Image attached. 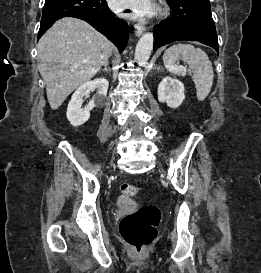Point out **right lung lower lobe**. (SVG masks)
<instances>
[{
    "instance_id": "1",
    "label": "right lung lower lobe",
    "mask_w": 261,
    "mask_h": 273,
    "mask_svg": "<svg viewBox=\"0 0 261 273\" xmlns=\"http://www.w3.org/2000/svg\"><path fill=\"white\" fill-rule=\"evenodd\" d=\"M76 17L88 22L112 41L122 52L128 41L131 27L115 17L106 0H45L38 39L58 19Z\"/></svg>"
}]
</instances>
